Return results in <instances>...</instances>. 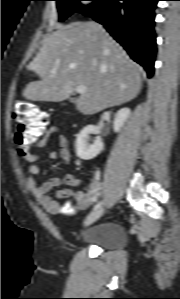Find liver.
Masks as SVG:
<instances>
[{"mask_svg": "<svg viewBox=\"0 0 180 299\" xmlns=\"http://www.w3.org/2000/svg\"><path fill=\"white\" fill-rule=\"evenodd\" d=\"M28 70L41 80L26 86V99L60 102L77 86H84L86 92L75 101L84 115L129 102L142 86L141 68L93 21L58 26L44 40Z\"/></svg>", "mask_w": 180, "mask_h": 299, "instance_id": "liver-1", "label": "liver"}]
</instances>
